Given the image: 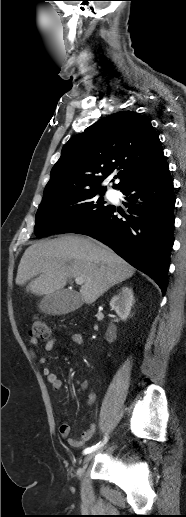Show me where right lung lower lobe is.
I'll return each mask as SVG.
<instances>
[{
	"instance_id": "98d812e1",
	"label": "right lung lower lobe",
	"mask_w": 186,
	"mask_h": 517,
	"mask_svg": "<svg viewBox=\"0 0 186 517\" xmlns=\"http://www.w3.org/2000/svg\"><path fill=\"white\" fill-rule=\"evenodd\" d=\"M129 215L111 207L72 233L93 237L150 276L164 294L174 237L173 181L169 166L121 189Z\"/></svg>"
}]
</instances>
